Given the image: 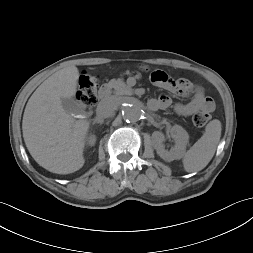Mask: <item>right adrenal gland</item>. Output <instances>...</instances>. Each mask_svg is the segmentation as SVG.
Listing matches in <instances>:
<instances>
[{"mask_svg":"<svg viewBox=\"0 0 253 253\" xmlns=\"http://www.w3.org/2000/svg\"><path fill=\"white\" fill-rule=\"evenodd\" d=\"M96 123L102 125V124H103V120H100V119H97V118H96V119L94 120L93 124H96Z\"/></svg>","mask_w":253,"mask_h":253,"instance_id":"1","label":"right adrenal gland"}]
</instances>
